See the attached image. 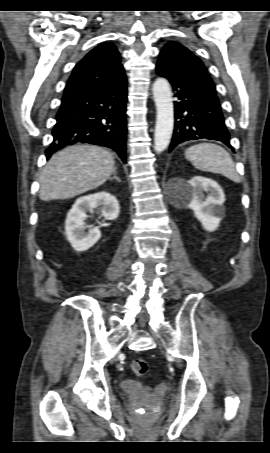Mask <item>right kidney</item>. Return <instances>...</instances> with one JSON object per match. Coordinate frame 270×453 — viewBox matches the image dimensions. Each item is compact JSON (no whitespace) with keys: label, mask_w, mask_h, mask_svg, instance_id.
<instances>
[{"label":"right kidney","mask_w":270,"mask_h":453,"mask_svg":"<svg viewBox=\"0 0 270 453\" xmlns=\"http://www.w3.org/2000/svg\"><path fill=\"white\" fill-rule=\"evenodd\" d=\"M93 208H99L105 220H115L120 212L118 200L110 193L98 192L78 198L65 221L66 237L78 252L88 250L101 237L99 227L90 228L85 232L86 212Z\"/></svg>","instance_id":"ca27d5eb"}]
</instances>
